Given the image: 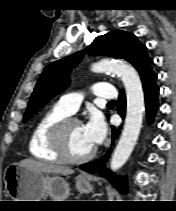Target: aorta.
<instances>
[{
    "label": "aorta",
    "mask_w": 176,
    "mask_h": 211,
    "mask_svg": "<svg viewBox=\"0 0 176 211\" xmlns=\"http://www.w3.org/2000/svg\"><path fill=\"white\" fill-rule=\"evenodd\" d=\"M92 71L118 74L126 91L125 124L110 163L111 170L116 172L129 158L140 134L145 110L143 87L137 71L123 62L101 60L92 66Z\"/></svg>",
    "instance_id": "1"
}]
</instances>
